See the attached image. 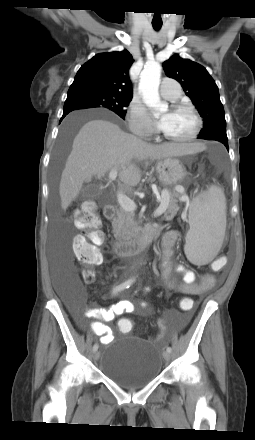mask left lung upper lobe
I'll return each instance as SVG.
<instances>
[{"mask_svg": "<svg viewBox=\"0 0 255 440\" xmlns=\"http://www.w3.org/2000/svg\"><path fill=\"white\" fill-rule=\"evenodd\" d=\"M163 68L168 77L182 85L184 92L204 119V127L198 138L228 141L225 113L218 87L207 70L202 65L182 59L178 55L165 61Z\"/></svg>", "mask_w": 255, "mask_h": 440, "instance_id": "left-lung-upper-lobe-1", "label": "left lung upper lobe"}]
</instances>
